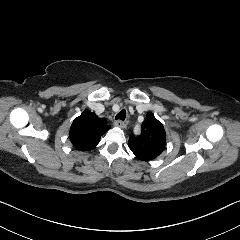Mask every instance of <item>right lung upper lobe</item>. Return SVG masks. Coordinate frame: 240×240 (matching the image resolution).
Here are the masks:
<instances>
[{"label": "right lung upper lobe", "mask_w": 240, "mask_h": 240, "mask_svg": "<svg viewBox=\"0 0 240 240\" xmlns=\"http://www.w3.org/2000/svg\"><path fill=\"white\" fill-rule=\"evenodd\" d=\"M108 129L110 127L105 119H100L94 113L85 110L71 125V142L78 150H91Z\"/></svg>", "instance_id": "right-lung-upper-lobe-1"}]
</instances>
